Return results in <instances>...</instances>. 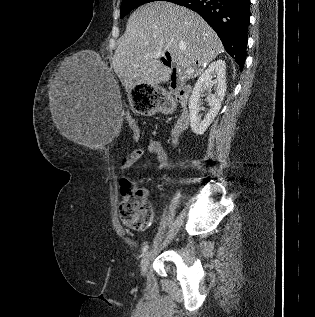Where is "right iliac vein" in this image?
I'll return each mask as SVG.
<instances>
[{"mask_svg":"<svg viewBox=\"0 0 315 317\" xmlns=\"http://www.w3.org/2000/svg\"><path fill=\"white\" fill-rule=\"evenodd\" d=\"M150 258H151V253L147 252L146 254H144L142 260H141V275H145L147 269H148V265L150 262Z\"/></svg>","mask_w":315,"mask_h":317,"instance_id":"63e3f726","label":"right iliac vein"}]
</instances>
